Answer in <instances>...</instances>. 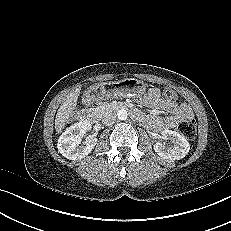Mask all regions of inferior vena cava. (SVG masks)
<instances>
[{"mask_svg": "<svg viewBox=\"0 0 231 231\" xmlns=\"http://www.w3.org/2000/svg\"><path fill=\"white\" fill-rule=\"evenodd\" d=\"M116 114L105 113L102 117V123L106 126L112 125L116 121Z\"/></svg>", "mask_w": 231, "mask_h": 231, "instance_id": "inferior-vena-cava-1", "label": "inferior vena cava"}]
</instances>
